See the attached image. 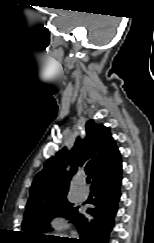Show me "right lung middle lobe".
<instances>
[{"mask_svg": "<svg viewBox=\"0 0 154 243\" xmlns=\"http://www.w3.org/2000/svg\"><path fill=\"white\" fill-rule=\"evenodd\" d=\"M78 212V207L70 203L66 197L27 208L22 229L27 239L45 238L44 232L51 231L50 221L58 216L70 219ZM42 234V235H41Z\"/></svg>", "mask_w": 154, "mask_h": 243, "instance_id": "dd1d6c3e", "label": "right lung middle lobe"}]
</instances>
